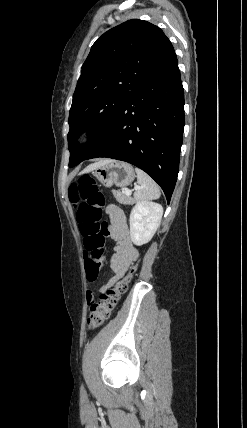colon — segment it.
<instances>
[{
	"label": "colon",
	"mask_w": 247,
	"mask_h": 428,
	"mask_svg": "<svg viewBox=\"0 0 247 428\" xmlns=\"http://www.w3.org/2000/svg\"><path fill=\"white\" fill-rule=\"evenodd\" d=\"M70 198L77 203V220L80 232L84 236L86 279L94 282L98 279L103 266L105 235L108 227L101 221L104 196L95 180L89 175H84L71 187ZM136 269L137 265H133L120 281L100 295L97 302L93 299L88 301L90 304L87 319L89 328H98L110 318L120 297L126 292Z\"/></svg>",
	"instance_id": "colon-1"
}]
</instances>
